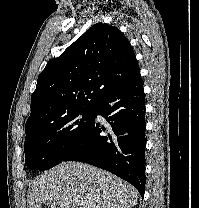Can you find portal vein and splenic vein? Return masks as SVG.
Returning <instances> with one entry per match:
<instances>
[{
  "instance_id": "18ae733b",
  "label": "portal vein and splenic vein",
  "mask_w": 199,
  "mask_h": 208,
  "mask_svg": "<svg viewBox=\"0 0 199 208\" xmlns=\"http://www.w3.org/2000/svg\"><path fill=\"white\" fill-rule=\"evenodd\" d=\"M74 208H81L79 203H74Z\"/></svg>"
}]
</instances>
